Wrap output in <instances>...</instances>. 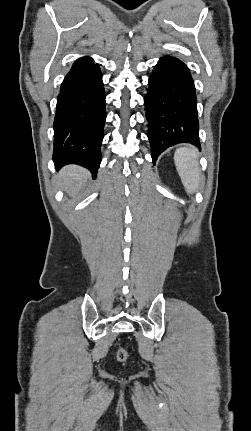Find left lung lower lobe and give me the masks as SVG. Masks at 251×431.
<instances>
[{
	"mask_svg": "<svg viewBox=\"0 0 251 431\" xmlns=\"http://www.w3.org/2000/svg\"><path fill=\"white\" fill-rule=\"evenodd\" d=\"M144 98L152 159L178 143L199 142L195 86L187 66L171 56L160 58Z\"/></svg>",
	"mask_w": 251,
	"mask_h": 431,
	"instance_id": "left-lung-lower-lobe-1",
	"label": "left lung lower lobe"
}]
</instances>
